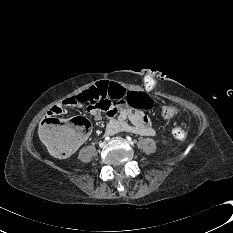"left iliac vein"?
Masks as SVG:
<instances>
[{"instance_id": "1", "label": "left iliac vein", "mask_w": 233, "mask_h": 233, "mask_svg": "<svg viewBox=\"0 0 233 233\" xmlns=\"http://www.w3.org/2000/svg\"><path fill=\"white\" fill-rule=\"evenodd\" d=\"M114 139H118V140H121V141H125V139L121 138V137H116Z\"/></svg>"}]
</instances>
